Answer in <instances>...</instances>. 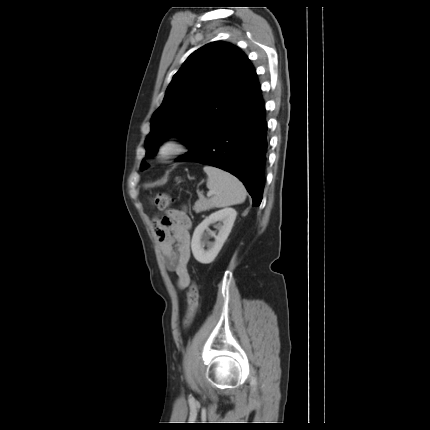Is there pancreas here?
<instances>
[{
	"mask_svg": "<svg viewBox=\"0 0 430 430\" xmlns=\"http://www.w3.org/2000/svg\"><path fill=\"white\" fill-rule=\"evenodd\" d=\"M211 208V202L209 199L200 198L197 202H195L193 206V210L196 213H200Z\"/></svg>",
	"mask_w": 430,
	"mask_h": 430,
	"instance_id": "cf45deb5",
	"label": "pancreas"
}]
</instances>
